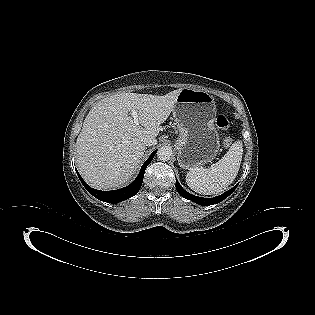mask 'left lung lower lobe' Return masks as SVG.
Segmentation results:
<instances>
[{"instance_id":"left-lung-lower-lobe-1","label":"left lung lower lobe","mask_w":315,"mask_h":315,"mask_svg":"<svg viewBox=\"0 0 315 315\" xmlns=\"http://www.w3.org/2000/svg\"><path fill=\"white\" fill-rule=\"evenodd\" d=\"M236 187H237V185L235 187H233L232 189L228 190L227 192H225L224 194L213 197V198H202V197H197L195 195H192V194L188 193L187 191H185L181 187L179 182L176 180V189L182 197H184L188 200H191L197 204L204 205V206L217 204V203L223 201L225 198H227L236 189Z\"/></svg>"}]
</instances>
